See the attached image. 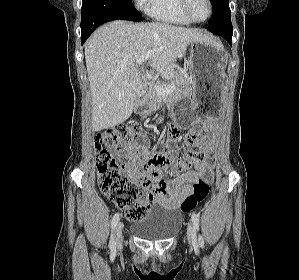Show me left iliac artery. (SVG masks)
<instances>
[{
  "label": "left iliac artery",
  "instance_id": "1",
  "mask_svg": "<svg viewBox=\"0 0 299 280\" xmlns=\"http://www.w3.org/2000/svg\"><path fill=\"white\" fill-rule=\"evenodd\" d=\"M191 219H192V222H193V230L198 231L199 230V217H198V215L196 213H192L191 214ZM198 243L201 247L204 245V240H203L201 235H199V237H198Z\"/></svg>",
  "mask_w": 299,
  "mask_h": 280
}]
</instances>
